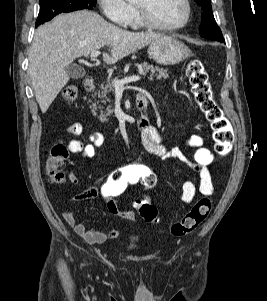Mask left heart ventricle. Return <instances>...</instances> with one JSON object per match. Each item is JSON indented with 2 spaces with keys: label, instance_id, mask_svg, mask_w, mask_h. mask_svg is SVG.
Segmentation results:
<instances>
[{
  "label": "left heart ventricle",
  "instance_id": "1",
  "mask_svg": "<svg viewBox=\"0 0 267 301\" xmlns=\"http://www.w3.org/2000/svg\"><path fill=\"white\" fill-rule=\"evenodd\" d=\"M134 6L145 8L154 20L163 25L180 23L186 13L183 0H135Z\"/></svg>",
  "mask_w": 267,
  "mask_h": 301
}]
</instances>
